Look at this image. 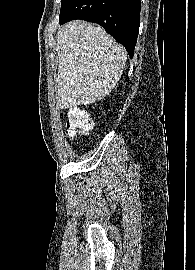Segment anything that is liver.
Instances as JSON below:
<instances>
[{
  "instance_id": "obj_1",
  "label": "liver",
  "mask_w": 195,
  "mask_h": 270,
  "mask_svg": "<svg viewBox=\"0 0 195 270\" xmlns=\"http://www.w3.org/2000/svg\"><path fill=\"white\" fill-rule=\"evenodd\" d=\"M59 65L57 106L70 108L101 100L116 86L127 52L105 30L84 21H71L57 32Z\"/></svg>"
}]
</instances>
